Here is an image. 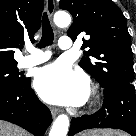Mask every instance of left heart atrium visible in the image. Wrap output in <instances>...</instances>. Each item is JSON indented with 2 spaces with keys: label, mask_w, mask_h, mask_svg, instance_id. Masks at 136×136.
<instances>
[{
  "label": "left heart atrium",
  "mask_w": 136,
  "mask_h": 136,
  "mask_svg": "<svg viewBox=\"0 0 136 136\" xmlns=\"http://www.w3.org/2000/svg\"><path fill=\"white\" fill-rule=\"evenodd\" d=\"M34 87L42 99L52 104L80 105L89 95L86 77L61 62L41 68L36 74Z\"/></svg>",
  "instance_id": "obj_1"
}]
</instances>
